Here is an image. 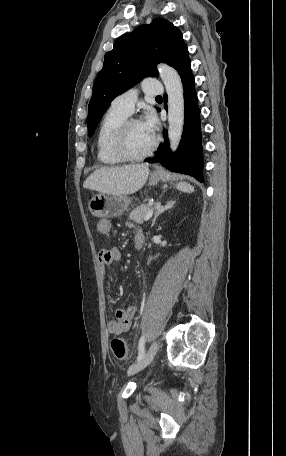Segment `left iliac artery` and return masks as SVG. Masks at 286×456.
Listing matches in <instances>:
<instances>
[{
  "mask_svg": "<svg viewBox=\"0 0 286 456\" xmlns=\"http://www.w3.org/2000/svg\"><path fill=\"white\" fill-rule=\"evenodd\" d=\"M144 343H145V335H143L141 338H140V341H139V345H138V357H137V361L141 360L144 355H145V347H144Z\"/></svg>",
  "mask_w": 286,
  "mask_h": 456,
  "instance_id": "left-iliac-artery-1",
  "label": "left iliac artery"
}]
</instances>
